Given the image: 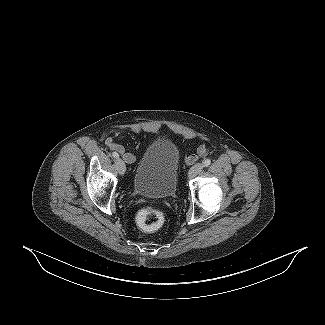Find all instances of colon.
Masks as SVG:
<instances>
[{"label": "colon", "mask_w": 325, "mask_h": 325, "mask_svg": "<svg viewBox=\"0 0 325 325\" xmlns=\"http://www.w3.org/2000/svg\"><path fill=\"white\" fill-rule=\"evenodd\" d=\"M164 215L157 209L147 208L142 210L137 216V223L147 232L156 231L164 224Z\"/></svg>", "instance_id": "obj_1"}]
</instances>
